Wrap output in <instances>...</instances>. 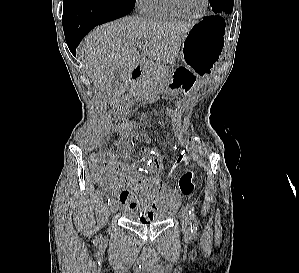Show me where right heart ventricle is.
Listing matches in <instances>:
<instances>
[{
	"mask_svg": "<svg viewBox=\"0 0 299 273\" xmlns=\"http://www.w3.org/2000/svg\"><path fill=\"white\" fill-rule=\"evenodd\" d=\"M143 14L158 20H173L181 17L172 8L169 0H149Z\"/></svg>",
	"mask_w": 299,
	"mask_h": 273,
	"instance_id": "e07e8e85",
	"label": "right heart ventricle"
}]
</instances>
